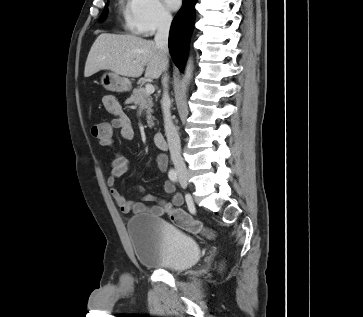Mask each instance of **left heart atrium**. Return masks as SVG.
Masks as SVG:
<instances>
[{
	"label": "left heart atrium",
	"mask_w": 363,
	"mask_h": 317,
	"mask_svg": "<svg viewBox=\"0 0 363 317\" xmlns=\"http://www.w3.org/2000/svg\"><path fill=\"white\" fill-rule=\"evenodd\" d=\"M164 2L170 10H177L181 4V0H164Z\"/></svg>",
	"instance_id": "39dd6f15"
}]
</instances>
